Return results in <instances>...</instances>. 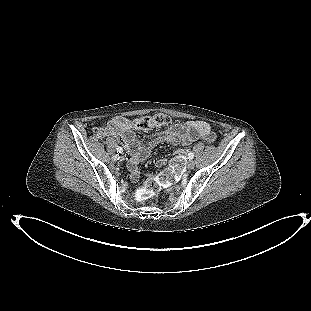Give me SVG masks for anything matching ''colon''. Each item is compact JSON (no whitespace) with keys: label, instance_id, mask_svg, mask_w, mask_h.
Masks as SVG:
<instances>
[{"label":"colon","instance_id":"5ec220e1","mask_svg":"<svg viewBox=\"0 0 311 311\" xmlns=\"http://www.w3.org/2000/svg\"><path fill=\"white\" fill-rule=\"evenodd\" d=\"M171 121L170 117L158 113L152 116L142 117L137 120H131L133 126L142 129H151L155 127L165 126ZM119 129L117 121L108 124L106 127H99L94 130V138L102 139ZM179 172V164L176 161L171 163L170 168L160 172L158 175L149 178L144 185L137 191V199L144 201L155 196L162 188L169 186L175 180Z\"/></svg>","mask_w":311,"mask_h":311}]
</instances>
